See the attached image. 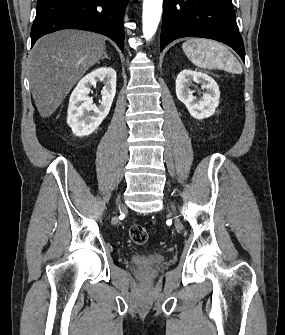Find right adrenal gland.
Returning a JSON list of instances; mask_svg holds the SVG:
<instances>
[{
  "mask_svg": "<svg viewBox=\"0 0 285 335\" xmlns=\"http://www.w3.org/2000/svg\"><path fill=\"white\" fill-rule=\"evenodd\" d=\"M105 58H107V60H111V58H108L107 54H104L103 58H101V60H105Z\"/></svg>",
  "mask_w": 285,
  "mask_h": 335,
  "instance_id": "right-adrenal-gland-1",
  "label": "right adrenal gland"
}]
</instances>
